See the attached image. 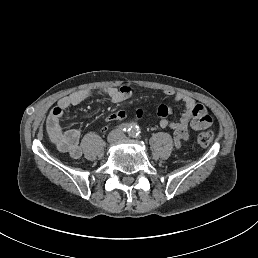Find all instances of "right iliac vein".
Wrapping results in <instances>:
<instances>
[{"label":"right iliac vein","instance_id":"1","mask_svg":"<svg viewBox=\"0 0 258 258\" xmlns=\"http://www.w3.org/2000/svg\"><path fill=\"white\" fill-rule=\"evenodd\" d=\"M120 138H121L120 132L117 131V130H114V131H112V132L109 134V136H108V141H109L110 143H115V142L119 141Z\"/></svg>","mask_w":258,"mask_h":258}]
</instances>
